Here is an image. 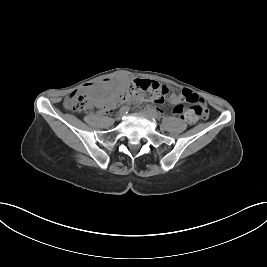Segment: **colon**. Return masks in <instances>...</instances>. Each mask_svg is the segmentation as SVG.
Here are the masks:
<instances>
[{
    "instance_id": "5ec220e1",
    "label": "colon",
    "mask_w": 267,
    "mask_h": 267,
    "mask_svg": "<svg viewBox=\"0 0 267 267\" xmlns=\"http://www.w3.org/2000/svg\"><path fill=\"white\" fill-rule=\"evenodd\" d=\"M168 89L157 82L147 79H136L129 86L116 94L106 105V111H110L119 101L134 100L140 95L145 98L142 100H151L154 102L164 101ZM182 99L192 105V108L184 110L181 106H176L173 113L181 118L188 117L194 119H206L209 115L208 108L202 98L190 89H183L181 92ZM89 99L82 93L73 92L64 101L66 109L74 112H81L89 107Z\"/></svg>"
}]
</instances>
